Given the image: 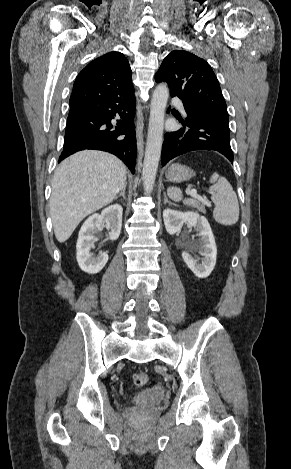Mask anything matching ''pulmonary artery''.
Here are the masks:
<instances>
[{"label": "pulmonary artery", "instance_id": "1", "mask_svg": "<svg viewBox=\"0 0 291 469\" xmlns=\"http://www.w3.org/2000/svg\"><path fill=\"white\" fill-rule=\"evenodd\" d=\"M172 103H173L175 106H177L179 109L184 110L183 103H182V101H181L180 99L174 98V99H172Z\"/></svg>", "mask_w": 291, "mask_h": 469}]
</instances>
